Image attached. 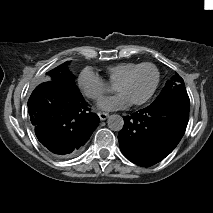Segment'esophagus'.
Here are the masks:
<instances>
[{
	"mask_svg": "<svg viewBox=\"0 0 213 213\" xmlns=\"http://www.w3.org/2000/svg\"><path fill=\"white\" fill-rule=\"evenodd\" d=\"M99 117L101 120H106L108 117H109V114L108 113H104V112H99L98 113Z\"/></svg>",
	"mask_w": 213,
	"mask_h": 213,
	"instance_id": "obj_1",
	"label": "esophagus"
}]
</instances>
